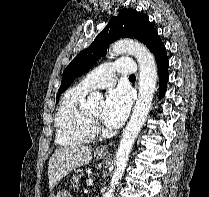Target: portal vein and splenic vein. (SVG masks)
<instances>
[{"instance_id":"18ae733b","label":"portal vein and splenic vein","mask_w":209,"mask_h":197,"mask_svg":"<svg viewBox=\"0 0 209 197\" xmlns=\"http://www.w3.org/2000/svg\"><path fill=\"white\" fill-rule=\"evenodd\" d=\"M92 185V180H88L87 181V186H91Z\"/></svg>"}]
</instances>
